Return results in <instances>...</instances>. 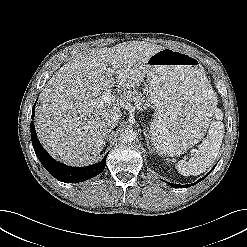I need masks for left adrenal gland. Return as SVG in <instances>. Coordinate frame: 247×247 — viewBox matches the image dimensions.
Instances as JSON below:
<instances>
[{
	"label": "left adrenal gland",
	"mask_w": 247,
	"mask_h": 247,
	"mask_svg": "<svg viewBox=\"0 0 247 247\" xmlns=\"http://www.w3.org/2000/svg\"><path fill=\"white\" fill-rule=\"evenodd\" d=\"M143 133H144L145 140H146V144H147L149 150H152L151 147H150V145H149L150 142H149V136H148V134H147V131H144Z\"/></svg>",
	"instance_id": "left-adrenal-gland-1"
}]
</instances>
